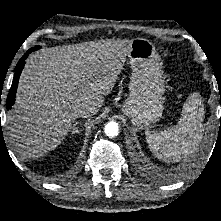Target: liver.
Masks as SVG:
<instances>
[{
	"instance_id": "1",
	"label": "liver",
	"mask_w": 221,
	"mask_h": 221,
	"mask_svg": "<svg viewBox=\"0 0 221 221\" xmlns=\"http://www.w3.org/2000/svg\"><path fill=\"white\" fill-rule=\"evenodd\" d=\"M132 40L62 45L33 54L21 73L10 136L17 152L35 159L54 150L72 129L76 110L104 103L123 69Z\"/></svg>"
}]
</instances>
